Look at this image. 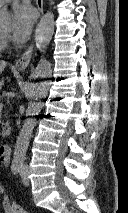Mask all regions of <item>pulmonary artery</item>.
<instances>
[{
	"label": "pulmonary artery",
	"instance_id": "obj_1",
	"mask_svg": "<svg viewBox=\"0 0 128 213\" xmlns=\"http://www.w3.org/2000/svg\"><path fill=\"white\" fill-rule=\"evenodd\" d=\"M8 1H10V0H0V6Z\"/></svg>",
	"mask_w": 128,
	"mask_h": 213
}]
</instances>
